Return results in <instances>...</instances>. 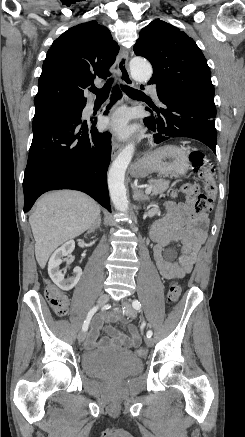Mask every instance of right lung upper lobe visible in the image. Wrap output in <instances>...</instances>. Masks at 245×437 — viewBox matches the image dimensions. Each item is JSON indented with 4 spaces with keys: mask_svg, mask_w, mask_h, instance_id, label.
<instances>
[{
    "mask_svg": "<svg viewBox=\"0 0 245 437\" xmlns=\"http://www.w3.org/2000/svg\"><path fill=\"white\" fill-rule=\"evenodd\" d=\"M109 29L90 21L74 26L47 52L38 81L35 109L55 104L86 105L84 89L95 79H107L118 54Z\"/></svg>",
    "mask_w": 245,
    "mask_h": 437,
    "instance_id": "cb5924a9",
    "label": "right lung upper lobe"
}]
</instances>
